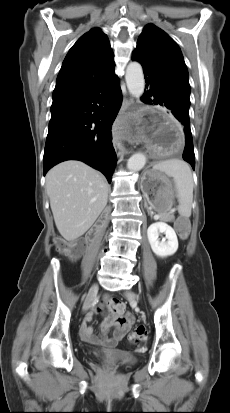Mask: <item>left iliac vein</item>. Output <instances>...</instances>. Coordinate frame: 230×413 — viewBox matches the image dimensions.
Instances as JSON below:
<instances>
[{"label": "left iliac vein", "mask_w": 230, "mask_h": 413, "mask_svg": "<svg viewBox=\"0 0 230 413\" xmlns=\"http://www.w3.org/2000/svg\"><path fill=\"white\" fill-rule=\"evenodd\" d=\"M126 296H127V298H128L129 300H135V299H138V298H139L138 295H136V294L133 293V292H127V293H126Z\"/></svg>", "instance_id": "left-iliac-vein-1"}]
</instances>
